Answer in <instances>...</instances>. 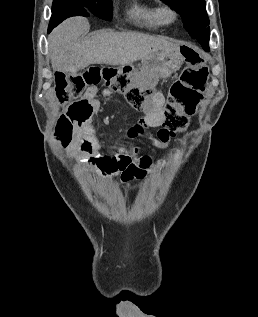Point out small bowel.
Segmentation results:
<instances>
[{"instance_id":"obj_1","label":"small bowel","mask_w":258,"mask_h":317,"mask_svg":"<svg viewBox=\"0 0 258 317\" xmlns=\"http://www.w3.org/2000/svg\"><path fill=\"white\" fill-rule=\"evenodd\" d=\"M95 88H90L85 97L75 101L68 111L75 118V134L70 144V150L78 153L80 163L88 166L91 172L99 177L119 179L123 184H129L133 179H143L147 175L156 173L165 166V162H154L150 156L139 155L140 149L134 147L127 150L123 143H119L116 151L105 156L101 154L104 146L102 127L108 124V119L99 120V102L91 97ZM152 121L141 119L127 131V138L134 140L144 137L150 140L153 146L164 149L170 142L169 133L160 128L155 134L148 131ZM177 150L173 151V155Z\"/></svg>"}]
</instances>
